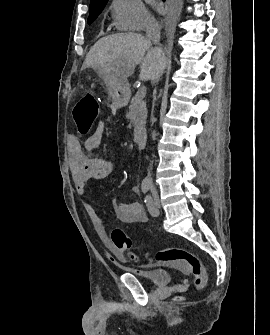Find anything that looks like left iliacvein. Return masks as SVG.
<instances>
[{"label":"left iliac vein","mask_w":270,"mask_h":335,"mask_svg":"<svg viewBox=\"0 0 270 335\" xmlns=\"http://www.w3.org/2000/svg\"><path fill=\"white\" fill-rule=\"evenodd\" d=\"M154 213L153 216L159 215L160 200L156 191L153 192Z\"/></svg>","instance_id":"left-iliac-vein-1"}]
</instances>
